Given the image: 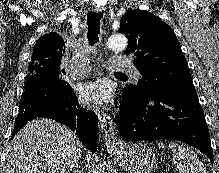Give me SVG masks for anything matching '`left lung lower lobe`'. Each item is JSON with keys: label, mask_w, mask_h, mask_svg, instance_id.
Here are the masks:
<instances>
[{"label": "left lung lower lobe", "mask_w": 219, "mask_h": 173, "mask_svg": "<svg viewBox=\"0 0 219 173\" xmlns=\"http://www.w3.org/2000/svg\"><path fill=\"white\" fill-rule=\"evenodd\" d=\"M116 125L125 141L179 140L199 149L213 164L204 112L195 89L137 98L123 90Z\"/></svg>", "instance_id": "left-lung-lower-lobe-1"}]
</instances>
